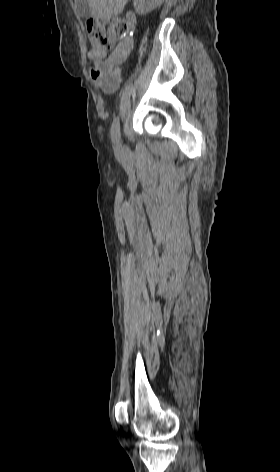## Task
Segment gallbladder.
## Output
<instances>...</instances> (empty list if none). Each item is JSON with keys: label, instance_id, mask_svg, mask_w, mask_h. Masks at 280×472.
I'll return each instance as SVG.
<instances>
[{"label": "gallbladder", "instance_id": "bac80fb5", "mask_svg": "<svg viewBox=\"0 0 280 472\" xmlns=\"http://www.w3.org/2000/svg\"><path fill=\"white\" fill-rule=\"evenodd\" d=\"M77 11L82 18H88L91 16L88 0H75Z\"/></svg>", "mask_w": 280, "mask_h": 472}]
</instances>
